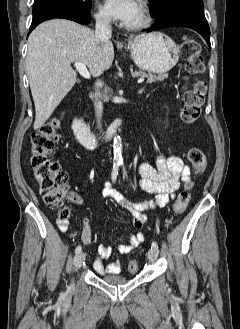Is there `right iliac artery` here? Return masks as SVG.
Masks as SVG:
<instances>
[{
  "mask_svg": "<svg viewBox=\"0 0 240 329\" xmlns=\"http://www.w3.org/2000/svg\"><path fill=\"white\" fill-rule=\"evenodd\" d=\"M118 175V166L113 167V172H112V181L115 182L117 179ZM81 246H77L75 249V253L78 254L81 252Z\"/></svg>",
  "mask_w": 240,
  "mask_h": 329,
  "instance_id": "obj_1",
  "label": "right iliac artery"
}]
</instances>
